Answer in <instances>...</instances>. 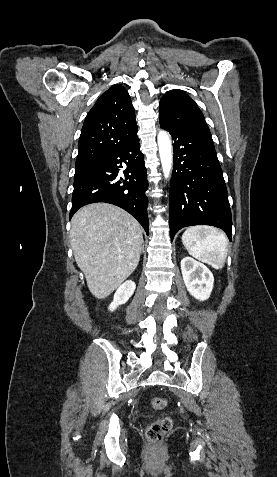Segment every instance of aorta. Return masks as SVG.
Instances as JSON below:
<instances>
[{
	"mask_svg": "<svg viewBox=\"0 0 277 477\" xmlns=\"http://www.w3.org/2000/svg\"><path fill=\"white\" fill-rule=\"evenodd\" d=\"M157 142L163 173L165 178H168L171 173L173 162L171 140L168 133L166 131H160L157 137Z\"/></svg>",
	"mask_w": 277,
	"mask_h": 477,
	"instance_id": "obj_1",
	"label": "aorta"
}]
</instances>
